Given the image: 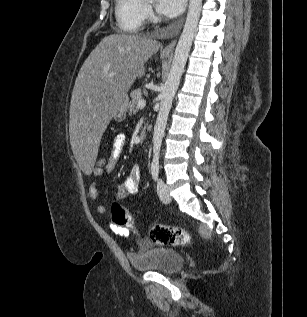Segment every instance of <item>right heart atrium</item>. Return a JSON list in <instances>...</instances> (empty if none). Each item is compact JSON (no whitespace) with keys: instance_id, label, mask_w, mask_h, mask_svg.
I'll return each mask as SVG.
<instances>
[{"instance_id":"d8ad5b80","label":"right heart atrium","mask_w":307,"mask_h":317,"mask_svg":"<svg viewBox=\"0 0 307 317\" xmlns=\"http://www.w3.org/2000/svg\"><path fill=\"white\" fill-rule=\"evenodd\" d=\"M146 15L150 16L151 15V9L150 7H146Z\"/></svg>"}]
</instances>
